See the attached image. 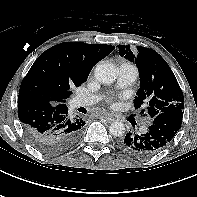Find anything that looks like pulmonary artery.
Here are the masks:
<instances>
[{
    "instance_id": "1",
    "label": "pulmonary artery",
    "mask_w": 197,
    "mask_h": 197,
    "mask_svg": "<svg viewBox=\"0 0 197 197\" xmlns=\"http://www.w3.org/2000/svg\"><path fill=\"white\" fill-rule=\"evenodd\" d=\"M138 77L137 68L129 63H123L118 68V86L127 87L132 85ZM99 100L97 96L93 95H79L75 97L74 104L76 106H87L96 103ZM148 127L146 125L141 127V132L146 133Z\"/></svg>"
}]
</instances>
